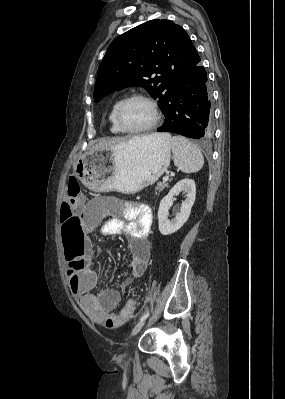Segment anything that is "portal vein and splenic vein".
Masks as SVG:
<instances>
[{"label": "portal vein and splenic vein", "mask_w": 285, "mask_h": 399, "mask_svg": "<svg viewBox=\"0 0 285 399\" xmlns=\"http://www.w3.org/2000/svg\"><path fill=\"white\" fill-rule=\"evenodd\" d=\"M168 179H169V176H164V177H163V182L168 181Z\"/></svg>", "instance_id": "1"}]
</instances>
